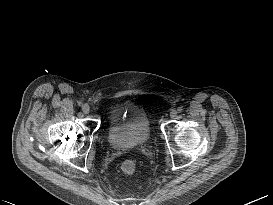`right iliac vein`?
I'll return each instance as SVG.
<instances>
[{
  "mask_svg": "<svg viewBox=\"0 0 273 205\" xmlns=\"http://www.w3.org/2000/svg\"><path fill=\"white\" fill-rule=\"evenodd\" d=\"M82 111L85 113V114H88L90 112V107L88 104H84L82 106Z\"/></svg>",
  "mask_w": 273,
  "mask_h": 205,
  "instance_id": "63e3f726",
  "label": "right iliac vein"
}]
</instances>
